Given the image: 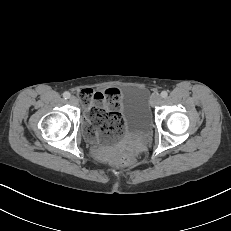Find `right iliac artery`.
<instances>
[{"label":"right iliac artery","mask_w":231,"mask_h":231,"mask_svg":"<svg viewBox=\"0 0 231 231\" xmlns=\"http://www.w3.org/2000/svg\"><path fill=\"white\" fill-rule=\"evenodd\" d=\"M70 96H71V94H70L69 92H67V91L63 93V97H64L65 99H69Z\"/></svg>","instance_id":"right-iliac-artery-1"}]
</instances>
